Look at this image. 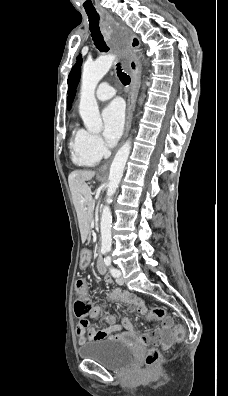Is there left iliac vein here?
Returning a JSON list of instances; mask_svg holds the SVG:
<instances>
[{"mask_svg": "<svg viewBox=\"0 0 228 396\" xmlns=\"http://www.w3.org/2000/svg\"><path fill=\"white\" fill-rule=\"evenodd\" d=\"M116 282H117L119 285H123V284H124V279H123V277L121 276V273H120V276L117 277Z\"/></svg>", "mask_w": 228, "mask_h": 396, "instance_id": "left-iliac-vein-1", "label": "left iliac vein"}]
</instances>
